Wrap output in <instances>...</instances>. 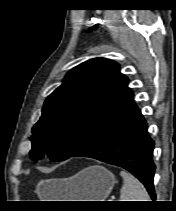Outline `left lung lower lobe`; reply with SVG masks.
Returning <instances> with one entry per match:
<instances>
[{
	"label": "left lung lower lobe",
	"mask_w": 176,
	"mask_h": 211,
	"mask_svg": "<svg viewBox=\"0 0 176 211\" xmlns=\"http://www.w3.org/2000/svg\"><path fill=\"white\" fill-rule=\"evenodd\" d=\"M153 148L147 123L132 102L98 128L72 157L94 158L128 170L155 200Z\"/></svg>",
	"instance_id": "obj_1"
}]
</instances>
